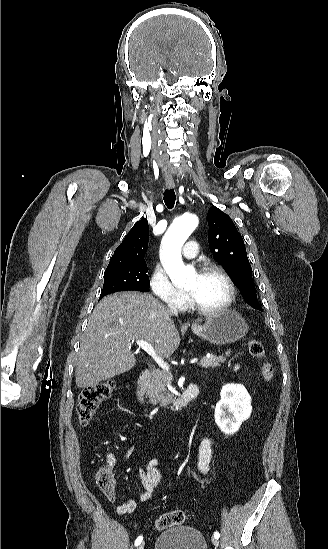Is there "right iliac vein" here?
<instances>
[{
    "instance_id": "right-iliac-vein-1",
    "label": "right iliac vein",
    "mask_w": 328,
    "mask_h": 549,
    "mask_svg": "<svg viewBox=\"0 0 328 549\" xmlns=\"http://www.w3.org/2000/svg\"><path fill=\"white\" fill-rule=\"evenodd\" d=\"M144 547H145V542H141V543L138 545L137 549H144Z\"/></svg>"
}]
</instances>
